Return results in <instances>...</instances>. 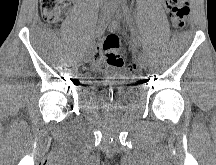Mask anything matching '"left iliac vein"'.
Returning <instances> with one entry per match:
<instances>
[{"label":"left iliac vein","instance_id":"1","mask_svg":"<svg viewBox=\"0 0 216 165\" xmlns=\"http://www.w3.org/2000/svg\"><path fill=\"white\" fill-rule=\"evenodd\" d=\"M118 17H120V15H118ZM137 61H138L141 68H146V66H147V58H146L144 53H142V52L138 53Z\"/></svg>","mask_w":216,"mask_h":165}]
</instances>
